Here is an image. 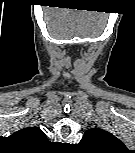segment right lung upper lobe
I'll use <instances>...</instances> for the list:
<instances>
[{
  "mask_svg": "<svg viewBox=\"0 0 135 153\" xmlns=\"http://www.w3.org/2000/svg\"><path fill=\"white\" fill-rule=\"evenodd\" d=\"M17 137L30 142H42L46 140V135L39 127H27L15 133Z\"/></svg>",
  "mask_w": 135,
  "mask_h": 153,
  "instance_id": "cb5924a9",
  "label": "right lung upper lobe"
}]
</instances>
